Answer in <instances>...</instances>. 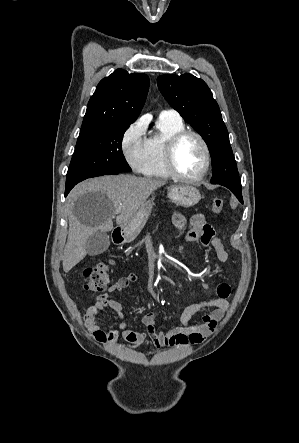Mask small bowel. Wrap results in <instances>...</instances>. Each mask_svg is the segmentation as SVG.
<instances>
[{
  "mask_svg": "<svg viewBox=\"0 0 299 443\" xmlns=\"http://www.w3.org/2000/svg\"><path fill=\"white\" fill-rule=\"evenodd\" d=\"M172 222L180 230L185 228L187 224L190 225L191 228L185 235V242L200 241L214 252L221 263L228 262L229 254L227 250L222 241L215 235L213 227L207 223L203 214H195L188 220L183 214L174 213ZM136 280L137 276L133 273L120 277L108 287L106 293L97 297L96 304L88 309L84 315L86 327L99 341L118 349L124 347L137 348L147 340H150L156 347L200 344L215 332L219 321L229 308L228 298L231 295V286L226 282H221L216 287V297L187 305L180 314V326L168 332H162L158 329L155 313L153 312L142 317V322L146 327L145 332L130 330L124 322H121L116 328L108 331L103 330L97 323V318L104 308H110L118 314L119 318H123L122 304L111 298L109 293L122 291L135 283ZM204 310H209V312L202 317V321L199 323L192 322V318ZM120 338L124 342H120Z\"/></svg>",
  "mask_w": 299,
  "mask_h": 443,
  "instance_id": "obj_1",
  "label": "small bowel"
}]
</instances>
